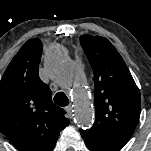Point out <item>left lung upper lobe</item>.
Instances as JSON below:
<instances>
[{
    "instance_id": "5c2ea615",
    "label": "left lung upper lobe",
    "mask_w": 151,
    "mask_h": 151,
    "mask_svg": "<svg viewBox=\"0 0 151 151\" xmlns=\"http://www.w3.org/2000/svg\"><path fill=\"white\" fill-rule=\"evenodd\" d=\"M80 43L94 72L96 117L88 131L130 138L141 111L140 92L133 77L106 38L82 35Z\"/></svg>"
}]
</instances>
